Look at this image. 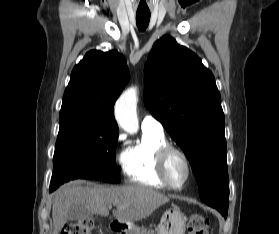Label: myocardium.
Instances as JSON below:
<instances>
[{
	"mask_svg": "<svg viewBox=\"0 0 279 234\" xmlns=\"http://www.w3.org/2000/svg\"><path fill=\"white\" fill-rule=\"evenodd\" d=\"M173 153L178 154L182 158L186 166V176L184 181L180 185L173 184L167 175L168 158ZM156 166L161 181L166 187L173 190H180L184 188L192 175V165L188 155L185 153L184 150L172 144L167 143L159 149L157 154Z\"/></svg>",
	"mask_w": 279,
	"mask_h": 234,
	"instance_id": "f54148a6",
	"label": "myocardium"
}]
</instances>
